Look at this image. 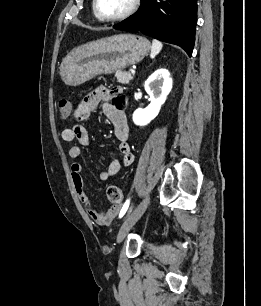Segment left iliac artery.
Segmentation results:
<instances>
[{"instance_id": "obj_1", "label": "left iliac artery", "mask_w": 261, "mask_h": 306, "mask_svg": "<svg viewBox=\"0 0 261 306\" xmlns=\"http://www.w3.org/2000/svg\"><path fill=\"white\" fill-rule=\"evenodd\" d=\"M129 204H130V200L128 199L124 203V205H123V207H122V209L120 211L119 218H122L125 215L126 211L128 210Z\"/></svg>"}]
</instances>
